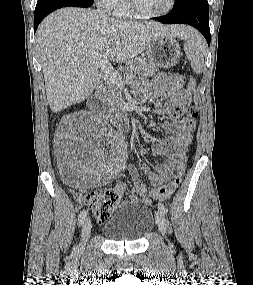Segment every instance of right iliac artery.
<instances>
[{
  "instance_id": "right-iliac-artery-1",
  "label": "right iliac artery",
  "mask_w": 253,
  "mask_h": 285,
  "mask_svg": "<svg viewBox=\"0 0 253 285\" xmlns=\"http://www.w3.org/2000/svg\"><path fill=\"white\" fill-rule=\"evenodd\" d=\"M86 216H87V212L85 210H82L78 216V225L79 226H81L84 223Z\"/></svg>"
}]
</instances>
